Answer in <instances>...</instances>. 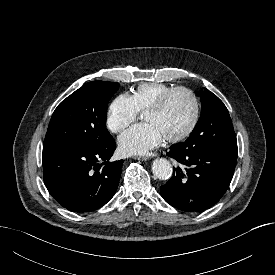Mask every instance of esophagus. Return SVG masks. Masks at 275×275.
<instances>
[{
    "mask_svg": "<svg viewBox=\"0 0 275 275\" xmlns=\"http://www.w3.org/2000/svg\"><path fill=\"white\" fill-rule=\"evenodd\" d=\"M133 158L141 161H145L148 159L146 156H134Z\"/></svg>",
    "mask_w": 275,
    "mask_h": 275,
    "instance_id": "34e87169",
    "label": "esophagus"
}]
</instances>
